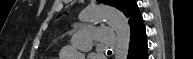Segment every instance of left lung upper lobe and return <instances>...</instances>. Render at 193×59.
<instances>
[{"mask_svg": "<svg viewBox=\"0 0 193 59\" xmlns=\"http://www.w3.org/2000/svg\"><path fill=\"white\" fill-rule=\"evenodd\" d=\"M100 3L113 6L124 13L127 18L138 10V6L134 0H97Z\"/></svg>", "mask_w": 193, "mask_h": 59, "instance_id": "left-lung-upper-lobe-1", "label": "left lung upper lobe"}]
</instances>
